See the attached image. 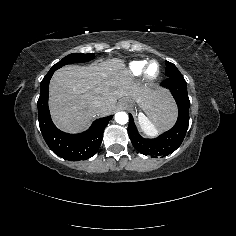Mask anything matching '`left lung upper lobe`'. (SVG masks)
I'll return each mask as SVG.
<instances>
[{
    "label": "left lung upper lobe",
    "instance_id": "obj_1",
    "mask_svg": "<svg viewBox=\"0 0 236 236\" xmlns=\"http://www.w3.org/2000/svg\"><path fill=\"white\" fill-rule=\"evenodd\" d=\"M166 75L168 78L170 77H182V74L180 73V71L177 69V67L171 63V62H168L166 61Z\"/></svg>",
    "mask_w": 236,
    "mask_h": 236
}]
</instances>
